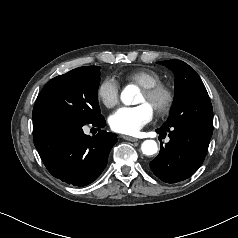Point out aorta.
I'll return each instance as SVG.
<instances>
[{
    "label": "aorta",
    "mask_w": 238,
    "mask_h": 238,
    "mask_svg": "<svg viewBox=\"0 0 238 238\" xmlns=\"http://www.w3.org/2000/svg\"><path fill=\"white\" fill-rule=\"evenodd\" d=\"M137 93V89L129 85L121 92V101L125 105H130L133 102V97ZM141 151L146 156H151L157 153L158 146L154 140H145L141 145Z\"/></svg>",
    "instance_id": "1"
}]
</instances>
